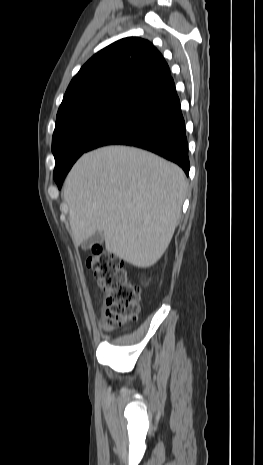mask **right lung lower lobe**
<instances>
[{
    "mask_svg": "<svg viewBox=\"0 0 263 465\" xmlns=\"http://www.w3.org/2000/svg\"><path fill=\"white\" fill-rule=\"evenodd\" d=\"M111 144L149 150L178 164L188 175L190 163L185 122L171 77L140 94L128 110L93 142L89 151ZM64 178L56 181L59 188Z\"/></svg>",
    "mask_w": 263,
    "mask_h": 465,
    "instance_id": "1",
    "label": "right lung lower lobe"
}]
</instances>
